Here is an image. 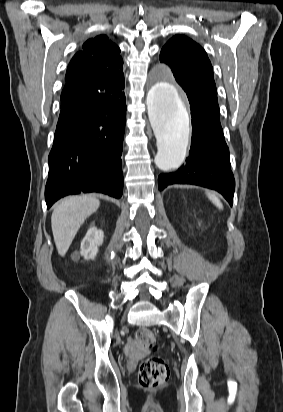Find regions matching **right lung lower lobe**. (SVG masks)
Wrapping results in <instances>:
<instances>
[{
  "label": "right lung lower lobe",
  "mask_w": 283,
  "mask_h": 412,
  "mask_svg": "<svg viewBox=\"0 0 283 412\" xmlns=\"http://www.w3.org/2000/svg\"><path fill=\"white\" fill-rule=\"evenodd\" d=\"M124 84L102 82L61 104L49 154L47 208L80 192L123 193L122 150L126 103Z\"/></svg>",
  "instance_id": "1"
}]
</instances>
